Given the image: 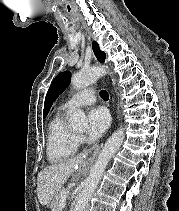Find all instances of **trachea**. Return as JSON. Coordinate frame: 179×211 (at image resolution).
<instances>
[{
    "label": "trachea",
    "instance_id": "3493384b",
    "mask_svg": "<svg viewBox=\"0 0 179 211\" xmlns=\"http://www.w3.org/2000/svg\"><path fill=\"white\" fill-rule=\"evenodd\" d=\"M100 95H101V97H102L104 100H108V99H109L108 92L105 91V90H102V91L100 92Z\"/></svg>",
    "mask_w": 179,
    "mask_h": 211
}]
</instances>
